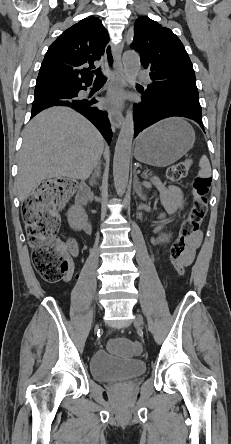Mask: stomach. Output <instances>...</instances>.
<instances>
[{
	"mask_svg": "<svg viewBox=\"0 0 231 444\" xmlns=\"http://www.w3.org/2000/svg\"><path fill=\"white\" fill-rule=\"evenodd\" d=\"M195 141V132L185 120L172 117L143 131L135 143V158L155 167H166L184 156Z\"/></svg>",
	"mask_w": 231,
	"mask_h": 444,
	"instance_id": "stomach-1",
	"label": "stomach"
}]
</instances>
